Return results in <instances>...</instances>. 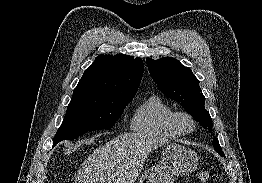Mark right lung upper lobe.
<instances>
[{
	"mask_svg": "<svg viewBox=\"0 0 262 183\" xmlns=\"http://www.w3.org/2000/svg\"><path fill=\"white\" fill-rule=\"evenodd\" d=\"M142 76L143 61L138 57L124 54L99 55L85 70L73 96L132 99Z\"/></svg>",
	"mask_w": 262,
	"mask_h": 183,
	"instance_id": "right-lung-upper-lobe-1",
	"label": "right lung upper lobe"
}]
</instances>
